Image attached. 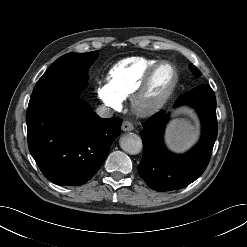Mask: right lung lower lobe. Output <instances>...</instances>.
<instances>
[{
  "label": "right lung lower lobe",
  "instance_id": "98d812e1",
  "mask_svg": "<svg viewBox=\"0 0 247 247\" xmlns=\"http://www.w3.org/2000/svg\"><path fill=\"white\" fill-rule=\"evenodd\" d=\"M26 123L29 150L44 176L79 186L105 161L122 120L100 118L86 101L64 96L30 101Z\"/></svg>",
  "mask_w": 247,
  "mask_h": 247
}]
</instances>
